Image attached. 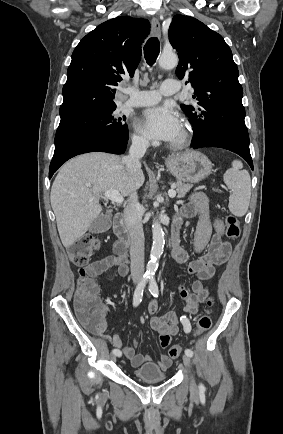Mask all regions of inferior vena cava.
Segmentation results:
<instances>
[{"mask_svg": "<svg viewBox=\"0 0 283 434\" xmlns=\"http://www.w3.org/2000/svg\"><path fill=\"white\" fill-rule=\"evenodd\" d=\"M148 146L149 142L146 139L138 137L132 140L129 154L122 159L130 174L141 168L140 159L144 156ZM124 219L131 237V276L133 281H139L144 272V232L142 209L136 191L129 196L128 204L124 209Z\"/></svg>", "mask_w": 283, "mask_h": 434, "instance_id": "1", "label": "inferior vena cava"}]
</instances>
